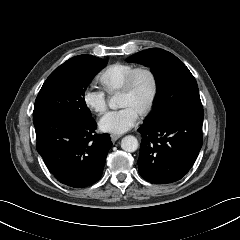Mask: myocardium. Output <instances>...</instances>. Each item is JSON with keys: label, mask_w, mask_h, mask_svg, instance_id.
Listing matches in <instances>:
<instances>
[{"label": "myocardium", "mask_w": 240, "mask_h": 240, "mask_svg": "<svg viewBox=\"0 0 240 240\" xmlns=\"http://www.w3.org/2000/svg\"><path fill=\"white\" fill-rule=\"evenodd\" d=\"M140 73L147 74L152 82V92L151 96L146 104V106L140 111V116L148 115L152 109L154 108L158 95H159V81L156 73L149 67L145 65H140L135 67L126 77L125 82L121 89L119 90L120 93H130L135 85V79Z\"/></svg>", "instance_id": "1"}]
</instances>
